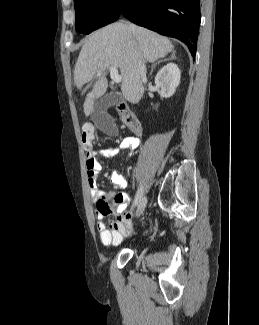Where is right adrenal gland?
Returning <instances> with one entry per match:
<instances>
[{
    "mask_svg": "<svg viewBox=\"0 0 259 325\" xmlns=\"http://www.w3.org/2000/svg\"><path fill=\"white\" fill-rule=\"evenodd\" d=\"M171 59H173V57H171V58H169V59H164V60L158 61V62H156V63H153L149 75H150V76L152 75L153 70L155 69L156 65H158V64H160V63H162V62H165V61H169V60H171Z\"/></svg>",
    "mask_w": 259,
    "mask_h": 325,
    "instance_id": "obj_1",
    "label": "right adrenal gland"
}]
</instances>
